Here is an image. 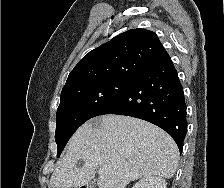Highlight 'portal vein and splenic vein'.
Returning <instances> with one entry per match:
<instances>
[{
  "label": "portal vein and splenic vein",
  "instance_id": "18ae733b",
  "mask_svg": "<svg viewBox=\"0 0 224 188\" xmlns=\"http://www.w3.org/2000/svg\"><path fill=\"white\" fill-rule=\"evenodd\" d=\"M98 173H99L100 175H103V174H105V170H104V169H99V170H98Z\"/></svg>",
  "mask_w": 224,
  "mask_h": 188
}]
</instances>
